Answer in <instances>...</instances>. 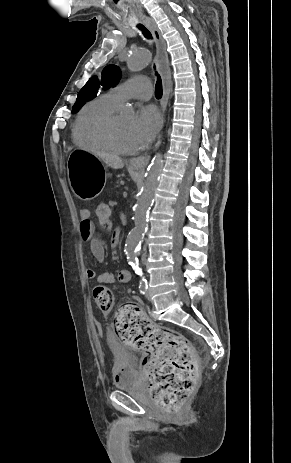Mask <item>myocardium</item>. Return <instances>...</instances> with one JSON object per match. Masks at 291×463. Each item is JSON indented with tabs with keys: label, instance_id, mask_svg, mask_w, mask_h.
I'll list each match as a JSON object with an SVG mask.
<instances>
[{
	"label": "myocardium",
	"instance_id": "myocardium-1",
	"mask_svg": "<svg viewBox=\"0 0 291 463\" xmlns=\"http://www.w3.org/2000/svg\"><path fill=\"white\" fill-rule=\"evenodd\" d=\"M117 116L112 115L99 129V135L104 140L107 147L118 154L122 155H133L138 149H126L118 144L116 140L115 128H116Z\"/></svg>",
	"mask_w": 291,
	"mask_h": 463
}]
</instances>
